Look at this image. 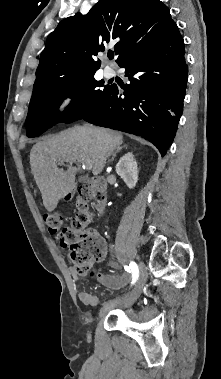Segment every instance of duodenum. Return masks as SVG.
<instances>
[{
    "label": "duodenum",
    "instance_id": "1",
    "mask_svg": "<svg viewBox=\"0 0 221 379\" xmlns=\"http://www.w3.org/2000/svg\"><path fill=\"white\" fill-rule=\"evenodd\" d=\"M85 187L103 189L104 188V182L101 178L95 177V178L90 179ZM81 188H83V187H81ZM104 207H105V201L102 200L98 203L99 212H102Z\"/></svg>",
    "mask_w": 221,
    "mask_h": 379
}]
</instances>
